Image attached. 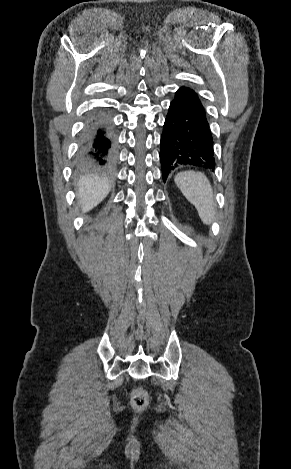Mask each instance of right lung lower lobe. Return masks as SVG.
Instances as JSON below:
<instances>
[{"mask_svg":"<svg viewBox=\"0 0 291 469\" xmlns=\"http://www.w3.org/2000/svg\"><path fill=\"white\" fill-rule=\"evenodd\" d=\"M116 160V141L110 122L104 116L92 114L83 128L77 166L82 169H113Z\"/></svg>","mask_w":291,"mask_h":469,"instance_id":"right-lung-lower-lobe-1","label":"right lung lower lobe"}]
</instances>
